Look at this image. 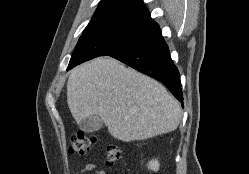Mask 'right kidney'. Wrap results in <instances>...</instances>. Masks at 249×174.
Masks as SVG:
<instances>
[{
  "label": "right kidney",
  "mask_w": 249,
  "mask_h": 174,
  "mask_svg": "<svg viewBox=\"0 0 249 174\" xmlns=\"http://www.w3.org/2000/svg\"><path fill=\"white\" fill-rule=\"evenodd\" d=\"M148 169H150L152 171H158L159 170V162H158V160L153 159V160L149 161Z\"/></svg>",
  "instance_id": "obj_1"
}]
</instances>
